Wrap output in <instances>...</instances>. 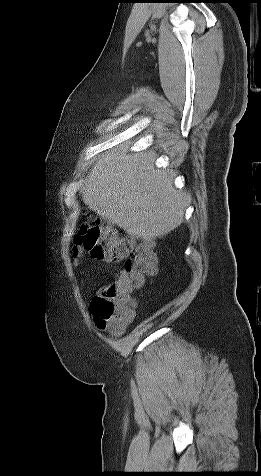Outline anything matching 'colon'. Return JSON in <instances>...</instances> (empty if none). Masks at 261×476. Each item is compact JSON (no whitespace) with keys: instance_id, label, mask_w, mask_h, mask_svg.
<instances>
[{"instance_id":"5ec220e1","label":"colon","mask_w":261,"mask_h":476,"mask_svg":"<svg viewBox=\"0 0 261 476\" xmlns=\"http://www.w3.org/2000/svg\"><path fill=\"white\" fill-rule=\"evenodd\" d=\"M79 248L86 249L99 260L125 261L119 277L105 285L91 304L98 328L118 335L134 319V292L142 289L147 278L157 272L153 242L146 240L134 244L121 237L107 221L95 220L81 227L76 237V253Z\"/></svg>"}]
</instances>
